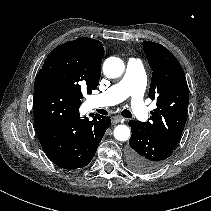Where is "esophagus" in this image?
I'll return each instance as SVG.
<instances>
[{
    "mask_svg": "<svg viewBox=\"0 0 211 211\" xmlns=\"http://www.w3.org/2000/svg\"><path fill=\"white\" fill-rule=\"evenodd\" d=\"M125 119L123 118V117H121V116H114L113 118H112V123L113 124H118V123H120V122H123Z\"/></svg>",
    "mask_w": 211,
    "mask_h": 211,
    "instance_id": "1",
    "label": "esophagus"
}]
</instances>
